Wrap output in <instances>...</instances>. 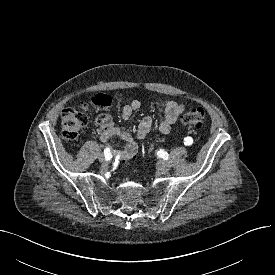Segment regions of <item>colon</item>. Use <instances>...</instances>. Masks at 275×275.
Returning <instances> with one entry per match:
<instances>
[{
  "label": "colon",
  "mask_w": 275,
  "mask_h": 275,
  "mask_svg": "<svg viewBox=\"0 0 275 275\" xmlns=\"http://www.w3.org/2000/svg\"><path fill=\"white\" fill-rule=\"evenodd\" d=\"M92 106L97 111L106 110L110 104L111 99L108 96L99 94L91 99ZM87 106H82L81 109L67 108L63 110L61 117L62 134L64 138L73 140L78 137L80 132L88 123V116L86 114ZM104 115H100L102 117ZM206 116L205 112L200 107L191 108L182 116V123L194 128H202L205 124Z\"/></svg>",
  "instance_id": "1"
}]
</instances>
